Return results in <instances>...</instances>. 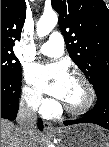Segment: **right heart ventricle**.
I'll use <instances>...</instances> for the list:
<instances>
[{
	"instance_id": "obj_1",
	"label": "right heart ventricle",
	"mask_w": 109,
	"mask_h": 147,
	"mask_svg": "<svg viewBox=\"0 0 109 147\" xmlns=\"http://www.w3.org/2000/svg\"><path fill=\"white\" fill-rule=\"evenodd\" d=\"M54 112H55V109L51 108V109L45 110V111L43 112V114H44L45 116H50V115H53Z\"/></svg>"
}]
</instances>
